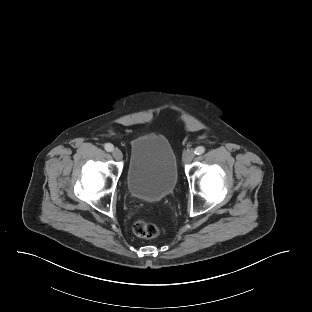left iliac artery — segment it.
Masks as SVG:
<instances>
[{"label": "left iliac artery", "mask_w": 312, "mask_h": 312, "mask_svg": "<svg viewBox=\"0 0 312 312\" xmlns=\"http://www.w3.org/2000/svg\"><path fill=\"white\" fill-rule=\"evenodd\" d=\"M205 152V148L203 147V146H198L196 149H195V151H194V153L196 154V155H201V154H203Z\"/></svg>", "instance_id": "1"}]
</instances>
